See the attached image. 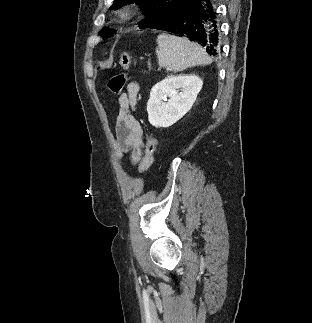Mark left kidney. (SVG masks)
I'll list each match as a JSON object with an SVG mask.
<instances>
[{"mask_svg": "<svg viewBox=\"0 0 312 323\" xmlns=\"http://www.w3.org/2000/svg\"><path fill=\"white\" fill-rule=\"evenodd\" d=\"M203 82L199 76H168L155 84L147 102L148 120L155 128H169L192 108ZM169 98V100H167Z\"/></svg>", "mask_w": 312, "mask_h": 323, "instance_id": "left-kidney-1", "label": "left kidney"}]
</instances>
